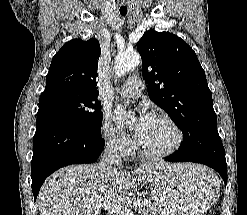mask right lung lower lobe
Instances as JSON below:
<instances>
[{
  "instance_id": "98d812e1",
  "label": "right lung lower lobe",
  "mask_w": 247,
  "mask_h": 215,
  "mask_svg": "<svg viewBox=\"0 0 247 215\" xmlns=\"http://www.w3.org/2000/svg\"><path fill=\"white\" fill-rule=\"evenodd\" d=\"M104 144L100 131L53 115L37 116L31 162L34 201L51 173L67 165L95 162Z\"/></svg>"
}]
</instances>
